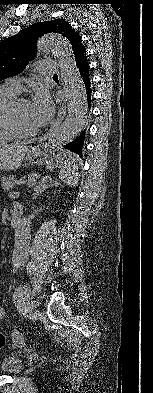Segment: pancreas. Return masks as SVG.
Instances as JSON below:
<instances>
[{"instance_id": "obj_1", "label": "pancreas", "mask_w": 153, "mask_h": 393, "mask_svg": "<svg viewBox=\"0 0 153 393\" xmlns=\"http://www.w3.org/2000/svg\"><path fill=\"white\" fill-rule=\"evenodd\" d=\"M16 183V179L13 176L4 178L1 180V187L4 191L11 189Z\"/></svg>"}]
</instances>
